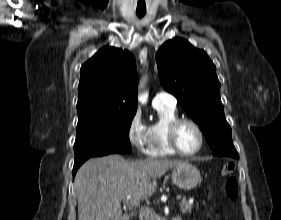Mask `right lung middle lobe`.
I'll list each match as a JSON object with an SVG mask.
<instances>
[{
  "mask_svg": "<svg viewBox=\"0 0 281 220\" xmlns=\"http://www.w3.org/2000/svg\"><path fill=\"white\" fill-rule=\"evenodd\" d=\"M135 113L78 118L75 161L111 153H130L129 129Z\"/></svg>",
  "mask_w": 281,
  "mask_h": 220,
  "instance_id": "dd1d6c3e",
  "label": "right lung middle lobe"
}]
</instances>
